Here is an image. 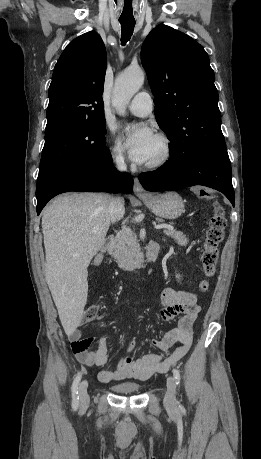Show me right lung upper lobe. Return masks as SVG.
<instances>
[{
  "instance_id": "1",
  "label": "right lung upper lobe",
  "mask_w": 261,
  "mask_h": 459,
  "mask_svg": "<svg viewBox=\"0 0 261 459\" xmlns=\"http://www.w3.org/2000/svg\"><path fill=\"white\" fill-rule=\"evenodd\" d=\"M106 65V49L97 32L85 33L68 44L54 68L45 131L105 119Z\"/></svg>"
}]
</instances>
